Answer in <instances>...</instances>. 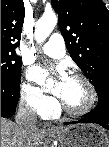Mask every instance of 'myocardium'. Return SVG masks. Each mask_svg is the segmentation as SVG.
Here are the masks:
<instances>
[{
  "label": "myocardium",
  "mask_w": 109,
  "mask_h": 147,
  "mask_svg": "<svg viewBox=\"0 0 109 147\" xmlns=\"http://www.w3.org/2000/svg\"><path fill=\"white\" fill-rule=\"evenodd\" d=\"M70 78L80 79L81 81L84 82V84L89 89L90 100H89L88 104L86 106H84L83 108L73 109V108L69 107L63 99H61V101H60L61 109L70 115L81 116V115H84V114L88 113L89 111H91L92 108L95 106L96 101H97V92H96L94 85L92 84V82L90 81V79L86 75L79 73V72H74L70 75Z\"/></svg>",
  "instance_id": "1"
}]
</instances>
